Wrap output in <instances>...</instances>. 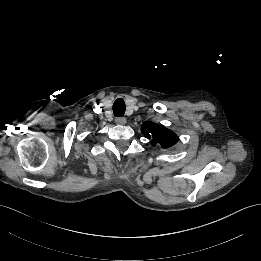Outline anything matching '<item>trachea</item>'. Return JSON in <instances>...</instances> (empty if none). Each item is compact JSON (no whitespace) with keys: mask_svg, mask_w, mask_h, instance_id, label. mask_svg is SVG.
<instances>
[{"mask_svg":"<svg viewBox=\"0 0 261 261\" xmlns=\"http://www.w3.org/2000/svg\"><path fill=\"white\" fill-rule=\"evenodd\" d=\"M126 106L122 98H117L113 103V113L116 117H122L125 113Z\"/></svg>","mask_w":261,"mask_h":261,"instance_id":"obj_1","label":"trachea"}]
</instances>
